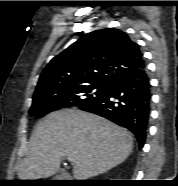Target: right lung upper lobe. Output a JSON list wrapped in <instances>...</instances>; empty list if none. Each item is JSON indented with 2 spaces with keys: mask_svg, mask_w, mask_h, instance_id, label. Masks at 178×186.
<instances>
[{
  "mask_svg": "<svg viewBox=\"0 0 178 186\" xmlns=\"http://www.w3.org/2000/svg\"><path fill=\"white\" fill-rule=\"evenodd\" d=\"M143 64L139 46L126 33L111 28L96 30L82 35L50 61L40 75L35 93L109 84L120 74Z\"/></svg>",
  "mask_w": 178,
  "mask_h": 186,
  "instance_id": "obj_1",
  "label": "right lung upper lobe"
}]
</instances>
